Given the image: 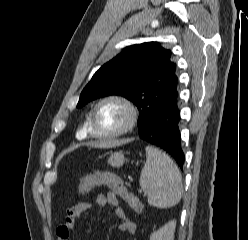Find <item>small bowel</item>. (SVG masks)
<instances>
[{
  "label": "small bowel",
  "instance_id": "obj_1",
  "mask_svg": "<svg viewBox=\"0 0 248 240\" xmlns=\"http://www.w3.org/2000/svg\"><path fill=\"white\" fill-rule=\"evenodd\" d=\"M94 205L99 207L107 205L114 206L116 216L120 219L118 229L121 232L128 233L132 236L135 235L137 229L136 224L128 218L125 210L119 205L118 198L115 196V194L109 192L107 194H99L96 197L94 204L80 202L73 208L69 209L66 213L64 223L57 228V239L69 240L71 231L75 226L76 219L79 218L81 215L89 212Z\"/></svg>",
  "mask_w": 248,
  "mask_h": 240
}]
</instances>
